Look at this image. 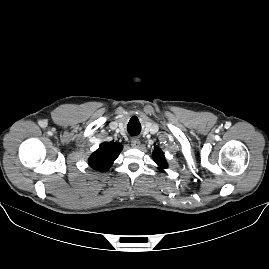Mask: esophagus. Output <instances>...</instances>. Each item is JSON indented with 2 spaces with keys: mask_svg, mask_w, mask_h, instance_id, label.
Returning a JSON list of instances; mask_svg holds the SVG:
<instances>
[{
  "mask_svg": "<svg viewBox=\"0 0 269 269\" xmlns=\"http://www.w3.org/2000/svg\"><path fill=\"white\" fill-rule=\"evenodd\" d=\"M140 145H141V141H140V139H138V138H133V139L131 140V146H132L133 148H139Z\"/></svg>",
  "mask_w": 269,
  "mask_h": 269,
  "instance_id": "esophagus-1",
  "label": "esophagus"
}]
</instances>
